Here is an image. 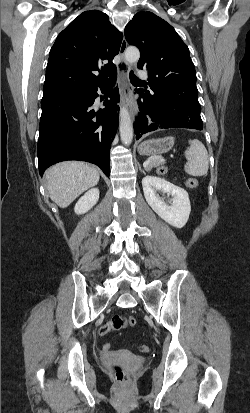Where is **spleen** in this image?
<instances>
[{
  "label": "spleen",
  "mask_w": 250,
  "mask_h": 413,
  "mask_svg": "<svg viewBox=\"0 0 250 413\" xmlns=\"http://www.w3.org/2000/svg\"><path fill=\"white\" fill-rule=\"evenodd\" d=\"M190 146L185 152L187 162L185 172L191 176H203L209 168V156L204 144L198 139L189 140Z\"/></svg>",
  "instance_id": "spleen-1"
}]
</instances>
